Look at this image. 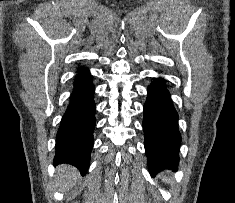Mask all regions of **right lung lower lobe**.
<instances>
[{"mask_svg":"<svg viewBox=\"0 0 235 203\" xmlns=\"http://www.w3.org/2000/svg\"><path fill=\"white\" fill-rule=\"evenodd\" d=\"M94 86L88 69L80 67L74 90L56 138L54 165L71 164L84 176L89 168L95 127Z\"/></svg>","mask_w":235,"mask_h":203,"instance_id":"right-lung-lower-lobe-1","label":"right lung lower lobe"}]
</instances>
